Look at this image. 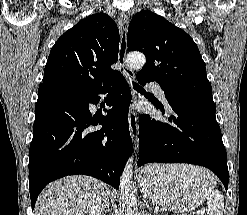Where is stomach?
<instances>
[{"label": "stomach", "instance_id": "stomach-1", "mask_svg": "<svg viewBox=\"0 0 247 215\" xmlns=\"http://www.w3.org/2000/svg\"><path fill=\"white\" fill-rule=\"evenodd\" d=\"M138 180L145 197L178 213L201 205L214 187L208 171L181 164L147 166Z\"/></svg>", "mask_w": 247, "mask_h": 215}]
</instances>
